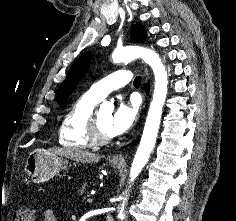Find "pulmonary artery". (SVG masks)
Masks as SVG:
<instances>
[{
    "mask_svg": "<svg viewBox=\"0 0 236 221\" xmlns=\"http://www.w3.org/2000/svg\"><path fill=\"white\" fill-rule=\"evenodd\" d=\"M132 78L128 70L115 71L93 84L87 94L97 101L103 100L110 92L125 86Z\"/></svg>",
    "mask_w": 236,
    "mask_h": 221,
    "instance_id": "e3ab8cb5",
    "label": "pulmonary artery"
}]
</instances>
